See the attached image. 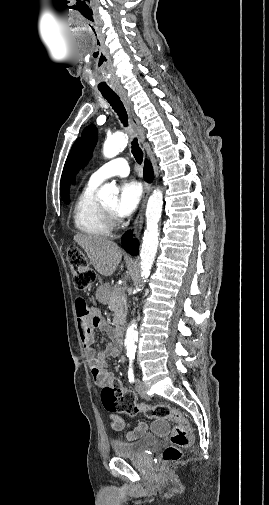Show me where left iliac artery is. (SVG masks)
Wrapping results in <instances>:
<instances>
[{
    "instance_id": "left-iliac-artery-1",
    "label": "left iliac artery",
    "mask_w": 269,
    "mask_h": 505,
    "mask_svg": "<svg viewBox=\"0 0 269 505\" xmlns=\"http://www.w3.org/2000/svg\"><path fill=\"white\" fill-rule=\"evenodd\" d=\"M127 356L129 357L128 379L133 383L135 381L133 372L134 353H128Z\"/></svg>"
}]
</instances>
